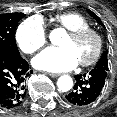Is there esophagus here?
I'll return each mask as SVG.
<instances>
[{
	"mask_svg": "<svg viewBox=\"0 0 117 117\" xmlns=\"http://www.w3.org/2000/svg\"><path fill=\"white\" fill-rule=\"evenodd\" d=\"M48 75L51 76V77H58V76H60L59 73H48Z\"/></svg>",
	"mask_w": 117,
	"mask_h": 117,
	"instance_id": "esophagus-1",
	"label": "esophagus"
}]
</instances>
